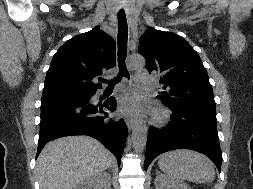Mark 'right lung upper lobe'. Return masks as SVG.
Instances as JSON below:
<instances>
[{
  "mask_svg": "<svg viewBox=\"0 0 253 189\" xmlns=\"http://www.w3.org/2000/svg\"><path fill=\"white\" fill-rule=\"evenodd\" d=\"M115 54V41L98 26L89 32L74 36L54 55L46 74L43 91H96L101 88V84H95L93 80L115 66Z\"/></svg>",
  "mask_w": 253,
  "mask_h": 189,
  "instance_id": "1",
  "label": "right lung upper lobe"
}]
</instances>
